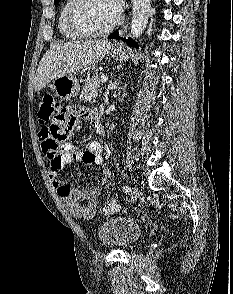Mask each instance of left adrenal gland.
<instances>
[{
	"mask_svg": "<svg viewBox=\"0 0 233 294\" xmlns=\"http://www.w3.org/2000/svg\"><path fill=\"white\" fill-rule=\"evenodd\" d=\"M120 84V81L118 80H115L114 79V76H112L111 80H110V83L106 89V92L104 94V99H105V102H108V95L110 93V90H114L118 87V85Z\"/></svg>",
	"mask_w": 233,
	"mask_h": 294,
	"instance_id": "left-adrenal-gland-1",
	"label": "left adrenal gland"
}]
</instances>
